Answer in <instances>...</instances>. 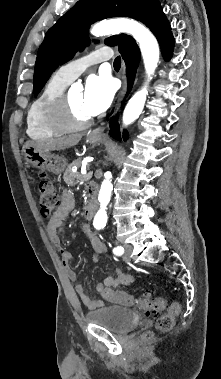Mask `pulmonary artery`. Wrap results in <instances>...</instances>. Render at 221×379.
<instances>
[{"label":"pulmonary artery","instance_id":"obj_1","mask_svg":"<svg viewBox=\"0 0 221 379\" xmlns=\"http://www.w3.org/2000/svg\"><path fill=\"white\" fill-rule=\"evenodd\" d=\"M112 50L109 48H100L92 51L88 55L69 62L61 66L57 71L56 75L63 80L71 83L75 80L83 71L87 69L92 64H96L112 57Z\"/></svg>","mask_w":221,"mask_h":379}]
</instances>
